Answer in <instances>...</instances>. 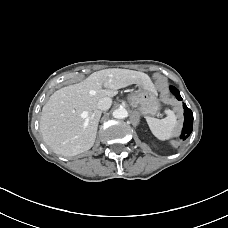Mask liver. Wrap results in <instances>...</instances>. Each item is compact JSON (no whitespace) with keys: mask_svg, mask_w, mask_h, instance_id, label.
Wrapping results in <instances>:
<instances>
[{"mask_svg":"<svg viewBox=\"0 0 228 228\" xmlns=\"http://www.w3.org/2000/svg\"><path fill=\"white\" fill-rule=\"evenodd\" d=\"M136 84L155 91L150 77L129 69H105L86 80L55 91L42 108L40 131L56 154L75 156L89 150L96 139L101 111L97 103L114 97L118 89Z\"/></svg>","mask_w":228,"mask_h":228,"instance_id":"obj_1","label":"liver"}]
</instances>
